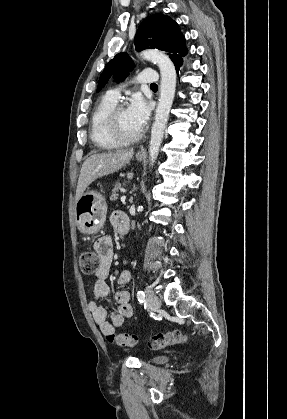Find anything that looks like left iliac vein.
I'll return each mask as SVG.
<instances>
[{"label": "left iliac vein", "mask_w": 287, "mask_h": 419, "mask_svg": "<svg viewBox=\"0 0 287 419\" xmlns=\"http://www.w3.org/2000/svg\"><path fill=\"white\" fill-rule=\"evenodd\" d=\"M146 295L147 304L151 309L157 310L161 307L160 299L150 289H146Z\"/></svg>", "instance_id": "1"}]
</instances>
